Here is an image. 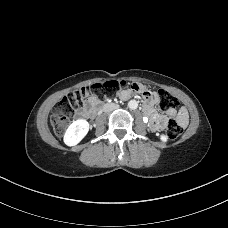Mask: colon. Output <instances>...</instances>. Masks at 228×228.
Listing matches in <instances>:
<instances>
[{"instance_id":"obj_1","label":"colon","mask_w":228,"mask_h":228,"mask_svg":"<svg viewBox=\"0 0 228 228\" xmlns=\"http://www.w3.org/2000/svg\"><path fill=\"white\" fill-rule=\"evenodd\" d=\"M127 86L125 80H108L102 83H95L90 87H81L73 93L65 96L55 108V113L52 117L54 131L57 135H62L67 124L69 116L75 109L79 108L86 96L89 94L99 95L104 89H118ZM131 90L143 97L147 98L151 92L143 85L133 83L130 86ZM159 107L163 111L175 110L179 105V100L165 90L158 91ZM183 133V127L175 120H170L167 126V135L170 139H176Z\"/></svg>"}]
</instances>
